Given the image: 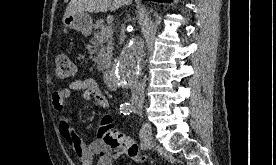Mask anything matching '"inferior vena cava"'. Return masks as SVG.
<instances>
[{
  "label": "inferior vena cava",
  "mask_w": 276,
  "mask_h": 165,
  "mask_svg": "<svg viewBox=\"0 0 276 165\" xmlns=\"http://www.w3.org/2000/svg\"><path fill=\"white\" fill-rule=\"evenodd\" d=\"M125 25L121 26V33L124 35ZM131 94L133 102H144V84L140 82L137 77L134 78L133 83L131 85Z\"/></svg>",
  "instance_id": "inferior-vena-cava-1"
}]
</instances>
